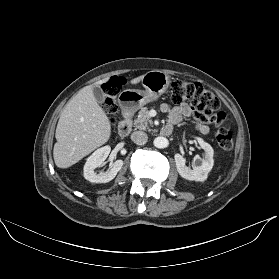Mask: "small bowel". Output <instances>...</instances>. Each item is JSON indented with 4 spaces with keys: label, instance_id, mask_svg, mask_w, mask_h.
Returning <instances> with one entry per match:
<instances>
[{
    "label": "small bowel",
    "instance_id": "small-bowel-1",
    "mask_svg": "<svg viewBox=\"0 0 279 279\" xmlns=\"http://www.w3.org/2000/svg\"><path fill=\"white\" fill-rule=\"evenodd\" d=\"M160 110L163 113H168L169 121L168 125H176L183 120V118L189 117L193 114L192 108L188 104H181L179 106H172L168 103H163L160 106ZM196 129L202 133L207 134L210 131L207 123L200 122L196 125Z\"/></svg>",
    "mask_w": 279,
    "mask_h": 279
}]
</instances>
